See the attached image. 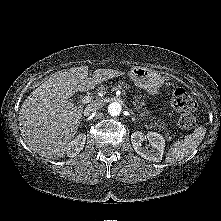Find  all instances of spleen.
I'll list each match as a JSON object with an SVG mask.
<instances>
[{"mask_svg":"<svg viewBox=\"0 0 221 221\" xmlns=\"http://www.w3.org/2000/svg\"><path fill=\"white\" fill-rule=\"evenodd\" d=\"M205 133L206 129L204 127H198L193 133L185 136L184 139L176 141L169 149L165 161L174 163L187 157L202 142Z\"/></svg>","mask_w":221,"mask_h":221,"instance_id":"3e777b00","label":"spleen"}]
</instances>
